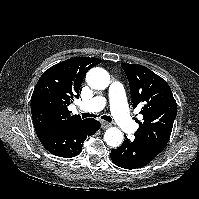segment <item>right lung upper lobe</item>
<instances>
[{"label":"right lung upper lobe","instance_id":"1","mask_svg":"<svg viewBox=\"0 0 199 199\" xmlns=\"http://www.w3.org/2000/svg\"><path fill=\"white\" fill-rule=\"evenodd\" d=\"M101 63L98 58L76 57L60 62L39 78L31 97L34 127L48 124L72 125L84 120L70 118L68 106L79 97L84 76Z\"/></svg>","mask_w":199,"mask_h":199}]
</instances>
